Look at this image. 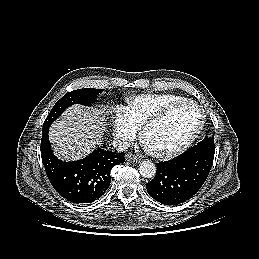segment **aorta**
<instances>
[{"label": "aorta", "mask_w": 259, "mask_h": 259, "mask_svg": "<svg viewBox=\"0 0 259 259\" xmlns=\"http://www.w3.org/2000/svg\"><path fill=\"white\" fill-rule=\"evenodd\" d=\"M139 172L145 178H152L156 174V166L149 160H144L139 165Z\"/></svg>", "instance_id": "1"}]
</instances>
